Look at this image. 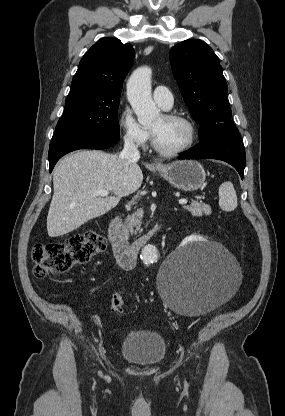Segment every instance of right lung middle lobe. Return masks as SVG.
<instances>
[{
  "label": "right lung middle lobe",
  "mask_w": 285,
  "mask_h": 416,
  "mask_svg": "<svg viewBox=\"0 0 285 416\" xmlns=\"http://www.w3.org/2000/svg\"><path fill=\"white\" fill-rule=\"evenodd\" d=\"M119 98L84 100L67 96L55 134L98 133L119 135Z\"/></svg>",
  "instance_id": "1"
}]
</instances>
